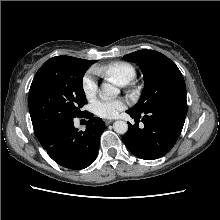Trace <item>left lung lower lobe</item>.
<instances>
[{
	"label": "left lung lower lobe",
	"instance_id": "0a47b994",
	"mask_svg": "<svg viewBox=\"0 0 220 220\" xmlns=\"http://www.w3.org/2000/svg\"><path fill=\"white\" fill-rule=\"evenodd\" d=\"M127 113L135 119L141 115ZM187 114L186 99L163 102L142 114L144 128L139 124L128 122L129 129L122 140L128 150L135 156L153 160L167 154L175 145L181 134Z\"/></svg>",
	"mask_w": 220,
	"mask_h": 220
}]
</instances>
